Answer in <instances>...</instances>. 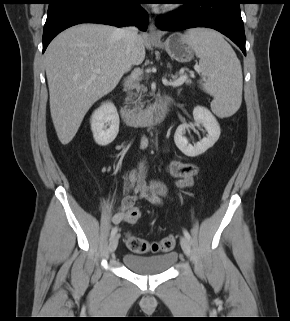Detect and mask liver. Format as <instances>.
<instances>
[{"instance_id":"liver-1","label":"liver","mask_w":290,"mask_h":321,"mask_svg":"<svg viewBox=\"0 0 290 321\" xmlns=\"http://www.w3.org/2000/svg\"><path fill=\"white\" fill-rule=\"evenodd\" d=\"M119 31L109 25L79 24L61 32L46 49L50 112L63 145L74 138L90 107L145 59L143 36L137 35L127 47Z\"/></svg>"}]
</instances>
